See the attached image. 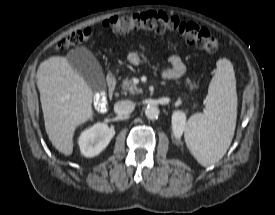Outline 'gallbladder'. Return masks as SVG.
I'll list each match as a JSON object with an SVG mask.
<instances>
[{
    "mask_svg": "<svg viewBox=\"0 0 275 215\" xmlns=\"http://www.w3.org/2000/svg\"><path fill=\"white\" fill-rule=\"evenodd\" d=\"M66 57L92 90L101 91L106 88L102 68L90 50L78 47L70 50Z\"/></svg>",
    "mask_w": 275,
    "mask_h": 215,
    "instance_id": "gallbladder-1",
    "label": "gallbladder"
}]
</instances>
